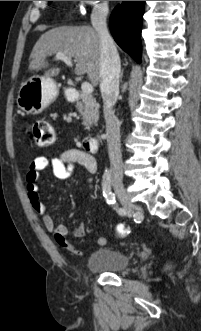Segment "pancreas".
<instances>
[{"mask_svg": "<svg viewBox=\"0 0 201 331\" xmlns=\"http://www.w3.org/2000/svg\"><path fill=\"white\" fill-rule=\"evenodd\" d=\"M81 102L77 105V109L83 117V125L90 128L96 123L99 118V106L96 100L90 94L81 93Z\"/></svg>", "mask_w": 201, "mask_h": 331, "instance_id": "obj_1", "label": "pancreas"}]
</instances>
